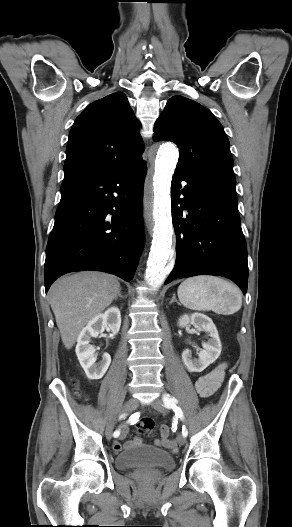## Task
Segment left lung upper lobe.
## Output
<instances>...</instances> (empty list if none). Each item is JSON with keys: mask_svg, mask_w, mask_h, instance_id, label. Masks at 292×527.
<instances>
[{"mask_svg": "<svg viewBox=\"0 0 292 527\" xmlns=\"http://www.w3.org/2000/svg\"><path fill=\"white\" fill-rule=\"evenodd\" d=\"M153 139L178 145L175 172L235 187L229 140L206 107L183 96L171 97L155 123Z\"/></svg>", "mask_w": 292, "mask_h": 527, "instance_id": "obj_1", "label": "left lung upper lobe"}]
</instances>
